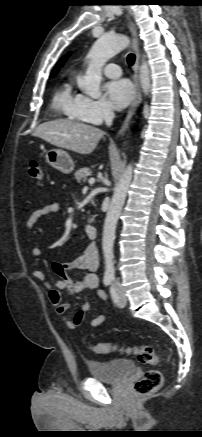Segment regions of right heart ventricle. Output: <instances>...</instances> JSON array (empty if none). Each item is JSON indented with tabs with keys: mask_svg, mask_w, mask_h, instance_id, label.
Here are the masks:
<instances>
[{
	"mask_svg": "<svg viewBox=\"0 0 202 437\" xmlns=\"http://www.w3.org/2000/svg\"><path fill=\"white\" fill-rule=\"evenodd\" d=\"M80 96V94L74 92L72 80L68 79L55 92L53 107L73 120L86 121L78 111Z\"/></svg>",
	"mask_w": 202,
	"mask_h": 437,
	"instance_id": "right-heart-ventricle-1",
	"label": "right heart ventricle"
}]
</instances>
